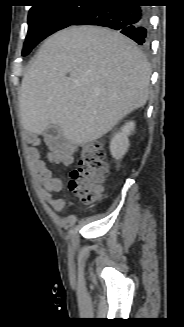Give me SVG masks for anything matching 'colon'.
I'll return each mask as SVG.
<instances>
[{
    "label": "colon",
    "instance_id": "5ec220e1",
    "mask_svg": "<svg viewBox=\"0 0 184 327\" xmlns=\"http://www.w3.org/2000/svg\"><path fill=\"white\" fill-rule=\"evenodd\" d=\"M107 175L103 146L92 142L84 147L77 168L70 174L69 189L81 202L93 203L102 197V184Z\"/></svg>",
    "mask_w": 184,
    "mask_h": 327
}]
</instances>
